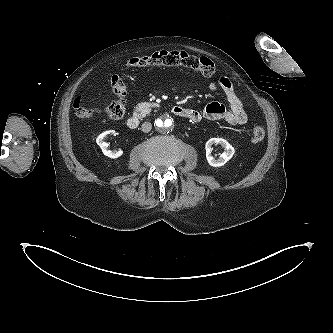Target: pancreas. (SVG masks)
Returning a JSON list of instances; mask_svg holds the SVG:
<instances>
[{"mask_svg": "<svg viewBox=\"0 0 333 333\" xmlns=\"http://www.w3.org/2000/svg\"><path fill=\"white\" fill-rule=\"evenodd\" d=\"M158 106L157 103L142 102L137 104L135 111L139 112L141 117H145L146 114L150 113L151 108Z\"/></svg>", "mask_w": 333, "mask_h": 333, "instance_id": "obj_1", "label": "pancreas"}]
</instances>
